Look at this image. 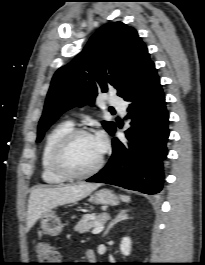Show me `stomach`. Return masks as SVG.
Instances as JSON below:
<instances>
[{
  "label": "stomach",
  "mask_w": 205,
  "mask_h": 265,
  "mask_svg": "<svg viewBox=\"0 0 205 265\" xmlns=\"http://www.w3.org/2000/svg\"><path fill=\"white\" fill-rule=\"evenodd\" d=\"M95 204L118 205V197L109 189H101L90 197ZM41 228L50 236H57L61 233L63 224L60 218L53 212H47L41 217Z\"/></svg>",
  "instance_id": "obj_1"
}]
</instances>
